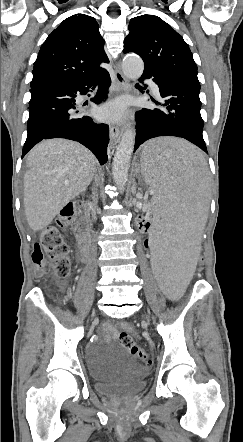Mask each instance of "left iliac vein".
Instances as JSON below:
<instances>
[{
	"label": "left iliac vein",
	"mask_w": 243,
	"mask_h": 442,
	"mask_svg": "<svg viewBox=\"0 0 243 442\" xmlns=\"http://www.w3.org/2000/svg\"><path fill=\"white\" fill-rule=\"evenodd\" d=\"M145 318H146L147 320H149V317H148L147 315L145 316Z\"/></svg>",
	"instance_id": "obj_1"
}]
</instances>
